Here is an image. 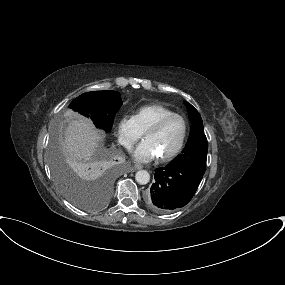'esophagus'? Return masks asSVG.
I'll return each instance as SVG.
<instances>
[{"label": "esophagus", "mask_w": 285, "mask_h": 285, "mask_svg": "<svg viewBox=\"0 0 285 285\" xmlns=\"http://www.w3.org/2000/svg\"><path fill=\"white\" fill-rule=\"evenodd\" d=\"M142 168H143L142 165L136 164L134 167L128 168V172H134V171H136L138 169H142Z\"/></svg>", "instance_id": "obj_1"}]
</instances>
